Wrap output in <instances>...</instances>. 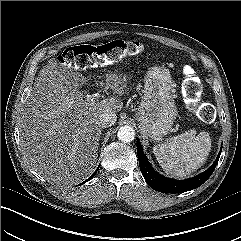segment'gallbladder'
<instances>
[{"label": "gallbladder", "instance_id": "obj_1", "mask_svg": "<svg viewBox=\"0 0 241 241\" xmlns=\"http://www.w3.org/2000/svg\"><path fill=\"white\" fill-rule=\"evenodd\" d=\"M74 75H77V72H74ZM79 83H81V82H79Z\"/></svg>", "mask_w": 241, "mask_h": 241}]
</instances>
